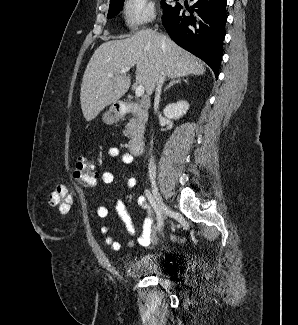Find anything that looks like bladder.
Masks as SVG:
<instances>
[{
    "mask_svg": "<svg viewBox=\"0 0 298 325\" xmlns=\"http://www.w3.org/2000/svg\"><path fill=\"white\" fill-rule=\"evenodd\" d=\"M123 273L129 278L159 277L162 275L157 255H145L125 264Z\"/></svg>",
    "mask_w": 298,
    "mask_h": 325,
    "instance_id": "31cf9c89",
    "label": "bladder"
}]
</instances>
